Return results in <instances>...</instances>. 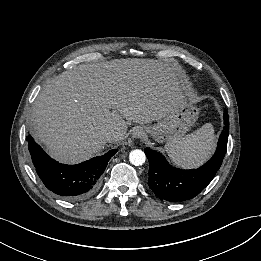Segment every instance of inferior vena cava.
<instances>
[{
	"mask_svg": "<svg viewBox=\"0 0 261 261\" xmlns=\"http://www.w3.org/2000/svg\"><path fill=\"white\" fill-rule=\"evenodd\" d=\"M105 138L107 141H114L119 138V132L115 131L114 129H106L105 131Z\"/></svg>",
	"mask_w": 261,
	"mask_h": 261,
	"instance_id": "obj_1",
	"label": "inferior vena cava"
}]
</instances>
